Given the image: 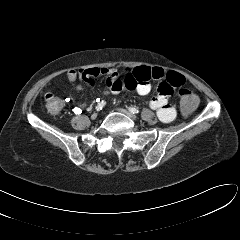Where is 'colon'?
Instances as JSON below:
<instances>
[{"mask_svg":"<svg viewBox=\"0 0 240 240\" xmlns=\"http://www.w3.org/2000/svg\"><path fill=\"white\" fill-rule=\"evenodd\" d=\"M179 94L182 113L190 115L198 105V96L189 89H181ZM45 107L50 114L56 115L61 111L63 101L60 97L48 93L45 96Z\"/></svg>","mask_w":240,"mask_h":240,"instance_id":"obj_1","label":"colon"}]
</instances>
